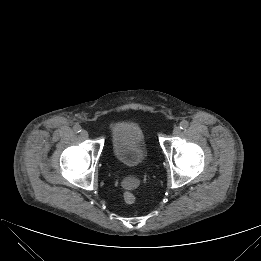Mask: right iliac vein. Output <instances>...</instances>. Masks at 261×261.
Returning a JSON list of instances; mask_svg holds the SVG:
<instances>
[{"label":"right iliac vein","mask_w":261,"mask_h":261,"mask_svg":"<svg viewBox=\"0 0 261 261\" xmlns=\"http://www.w3.org/2000/svg\"><path fill=\"white\" fill-rule=\"evenodd\" d=\"M81 136L84 137V138H87L88 137V132L86 130H82L81 131Z\"/></svg>","instance_id":"obj_1"}]
</instances>
